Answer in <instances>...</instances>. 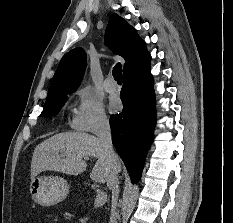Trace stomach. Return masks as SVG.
I'll use <instances>...</instances> for the list:
<instances>
[{"label": "stomach", "instance_id": "stomach-1", "mask_svg": "<svg viewBox=\"0 0 233 223\" xmlns=\"http://www.w3.org/2000/svg\"><path fill=\"white\" fill-rule=\"evenodd\" d=\"M69 183L59 175H36L30 181L29 189L32 199L39 205H56L69 193Z\"/></svg>", "mask_w": 233, "mask_h": 223}]
</instances>
